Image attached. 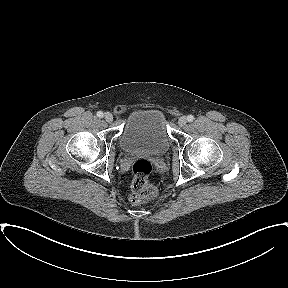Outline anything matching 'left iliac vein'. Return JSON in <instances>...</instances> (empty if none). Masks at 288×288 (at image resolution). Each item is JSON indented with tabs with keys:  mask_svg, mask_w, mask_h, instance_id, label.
I'll return each mask as SVG.
<instances>
[{
	"mask_svg": "<svg viewBox=\"0 0 288 288\" xmlns=\"http://www.w3.org/2000/svg\"><path fill=\"white\" fill-rule=\"evenodd\" d=\"M186 123H187V118L185 116H182L179 118V120H178L179 126L183 127L186 125Z\"/></svg>",
	"mask_w": 288,
	"mask_h": 288,
	"instance_id": "obj_1",
	"label": "left iliac vein"
}]
</instances>
